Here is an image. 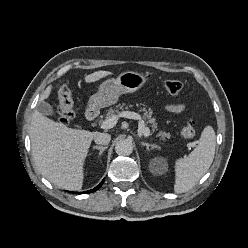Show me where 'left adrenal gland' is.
Wrapping results in <instances>:
<instances>
[{
    "label": "left adrenal gland",
    "mask_w": 248,
    "mask_h": 248,
    "mask_svg": "<svg viewBox=\"0 0 248 248\" xmlns=\"http://www.w3.org/2000/svg\"><path fill=\"white\" fill-rule=\"evenodd\" d=\"M141 144H142L143 146H146V148H147L148 151H149L150 149H156V148H158V146L155 145V144H149V143H145V142H141Z\"/></svg>",
    "instance_id": "obj_1"
}]
</instances>
